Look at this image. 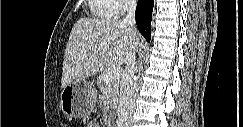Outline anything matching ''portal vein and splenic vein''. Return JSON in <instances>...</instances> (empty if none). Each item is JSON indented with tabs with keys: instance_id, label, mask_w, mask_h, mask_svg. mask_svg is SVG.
Wrapping results in <instances>:
<instances>
[{
	"instance_id": "obj_1",
	"label": "portal vein and splenic vein",
	"mask_w": 243,
	"mask_h": 127,
	"mask_svg": "<svg viewBox=\"0 0 243 127\" xmlns=\"http://www.w3.org/2000/svg\"><path fill=\"white\" fill-rule=\"evenodd\" d=\"M120 68H113L106 74V82H111L113 80L119 79L120 78Z\"/></svg>"
}]
</instances>
